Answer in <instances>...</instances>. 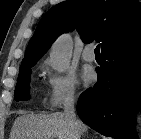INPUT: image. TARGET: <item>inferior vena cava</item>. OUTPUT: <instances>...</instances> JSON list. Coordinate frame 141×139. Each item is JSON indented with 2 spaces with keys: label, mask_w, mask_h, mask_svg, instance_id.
I'll return each instance as SVG.
<instances>
[{
  "label": "inferior vena cava",
  "mask_w": 141,
  "mask_h": 139,
  "mask_svg": "<svg viewBox=\"0 0 141 139\" xmlns=\"http://www.w3.org/2000/svg\"><path fill=\"white\" fill-rule=\"evenodd\" d=\"M64 115L69 120L72 129V139H80L79 123L75 115L74 95L68 94L64 101Z\"/></svg>",
  "instance_id": "602c4592"
}]
</instances>
